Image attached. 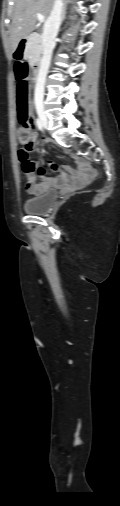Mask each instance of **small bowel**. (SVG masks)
Wrapping results in <instances>:
<instances>
[{"label": "small bowel", "instance_id": "1", "mask_svg": "<svg viewBox=\"0 0 120 506\" xmlns=\"http://www.w3.org/2000/svg\"><path fill=\"white\" fill-rule=\"evenodd\" d=\"M31 125H33V121H31ZM34 139H36L35 135ZM19 158L23 173L27 179V191L31 195H39L53 185L80 187L93 180V172L90 168L84 167V161L78 158L75 159L77 169L65 166L66 172H61L57 177L48 176L42 165L36 163L30 157H23L19 153ZM51 167L57 170V166L51 165ZM69 174L72 178L69 177ZM37 176L42 181L40 184L36 183Z\"/></svg>", "mask_w": 120, "mask_h": 506}]
</instances>
